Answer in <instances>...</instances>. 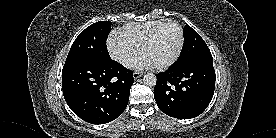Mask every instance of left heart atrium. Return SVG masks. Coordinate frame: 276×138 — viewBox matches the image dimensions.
Wrapping results in <instances>:
<instances>
[{"mask_svg": "<svg viewBox=\"0 0 276 138\" xmlns=\"http://www.w3.org/2000/svg\"><path fill=\"white\" fill-rule=\"evenodd\" d=\"M136 67L139 69H150L156 67L155 63L148 58L147 56L143 55L136 63Z\"/></svg>", "mask_w": 276, "mask_h": 138, "instance_id": "left-heart-atrium-1", "label": "left heart atrium"}]
</instances>
